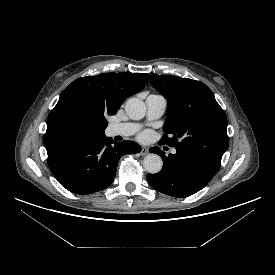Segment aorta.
Instances as JSON below:
<instances>
[{"label": "aorta", "instance_id": "obj_1", "mask_svg": "<svg viewBox=\"0 0 275 275\" xmlns=\"http://www.w3.org/2000/svg\"><path fill=\"white\" fill-rule=\"evenodd\" d=\"M125 111L130 119L140 120L146 114V105L138 98H131L125 104ZM143 166L148 173L156 174L161 171L163 161L159 155L152 153L145 156Z\"/></svg>", "mask_w": 275, "mask_h": 275}]
</instances>
